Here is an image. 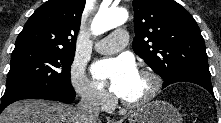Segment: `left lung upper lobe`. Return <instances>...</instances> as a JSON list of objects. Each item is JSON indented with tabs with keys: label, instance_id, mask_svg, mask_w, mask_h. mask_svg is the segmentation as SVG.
I'll use <instances>...</instances> for the list:
<instances>
[{
	"label": "left lung upper lobe",
	"instance_id": "obj_1",
	"mask_svg": "<svg viewBox=\"0 0 221 123\" xmlns=\"http://www.w3.org/2000/svg\"><path fill=\"white\" fill-rule=\"evenodd\" d=\"M134 52L163 80L183 73L211 76L194 18L173 0H133Z\"/></svg>",
	"mask_w": 221,
	"mask_h": 123
}]
</instances>
